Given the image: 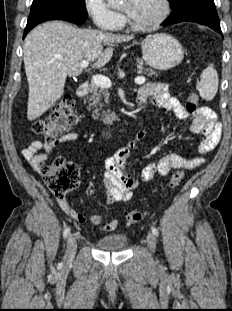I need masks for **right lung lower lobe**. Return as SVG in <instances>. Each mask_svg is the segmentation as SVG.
<instances>
[{
    "instance_id": "right-lung-lower-lobe-1",
    "label": "right lung lower lobe",
    "mask_w": 232,
    "mask_h": 311,
    "mask_svg": "<svg viewBox=\"0 0 232 311\" xmlns=\"http://www.w3.org/2000/svg\"><path fill=\"white\" fill-rule=\"evenodd\" d=\"M49 20H65L72 23H83L86 18L82 17L74 12L63 10V9H47L40 12L30 14L27 25L24 32V37L26 34L33 29L39 23L49 21Z\"/></svg>"
}]
</instances>
